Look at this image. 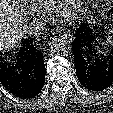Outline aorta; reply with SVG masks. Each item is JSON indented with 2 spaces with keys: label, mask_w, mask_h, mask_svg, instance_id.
Masks as SVG:
<instances>
[{
  "label": "aorta",
  "mask_w": 113,
  "mask_h": 113,
  "mask_svg": "<svg viewBox=\"0 0 113 113\" xmlns=\"http://www.w3.org/2000/svg\"><path fill=\"white\" fill-rule=\"evenodd\" d=\"M50 48L54 53L62 56H68L72 53L71 42L64 36L56 38L50 42Z\"/></svg>",
  "instance_id": "762f6f07"
}]
</instances>
